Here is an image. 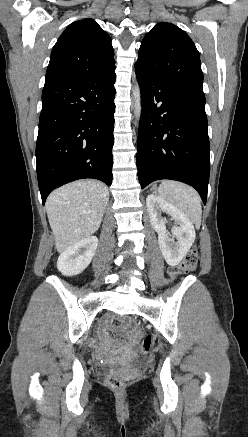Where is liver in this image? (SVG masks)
Returning a JSON list of instances; mask_svg holds the SVG:
<instances>
[{
  "label": "liver",
  "mask_w": 248,
  "mask_h": 437,
  "mask_svg": "<svg viewBox=\"0 0 248 437\" xmlns=\"http://www.w3.org/2000/svg\"><path fill=\"white\" fill-rule=\"evenodd\" d=\"M108 201L107 187L96 180L72 182L49 195L46 212L59 253L98 230Z\"/></svg>",
  "instance_id": "6515ba94"
}]
</instances>
